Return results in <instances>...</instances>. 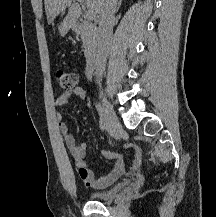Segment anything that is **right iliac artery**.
Instances as JSON below:
<instances>
[{
    "label": "right iliac artery",
    "mask_w": 216,
    "mask_h": 217,
    "mask_svg": "<svg viewBox=\"0 0 216 217\" xmlns=\"http://www.w3.org/2000/svg\"><path fill=\"white\" fill-rule=\"evenodd\" d=\"M95 106H96V109H97L98 114L100 116V128H101V130L104 131L108 128V123H107L106 115L104 113V109L100 103H96Z\"/></svg>",
    "instance_id": "obj_1"
}]
</instances>
